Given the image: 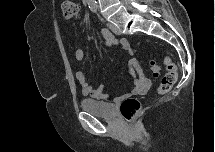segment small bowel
Instances as JSON below:
<instances>
[{
  "label": "small bowel",
  "instance_id": "obj_1",
  "mask_svg": "<svg viewBox=\"0 0 215 152\" xmlns=\"http://www.w3.org/2000/svg\"><path fill=\"white\" fill-rule=\"evenodd\" d=\"M101 34L105 40V43L109 46L120 44L122 49L126 51L129 55L133 54V51L130 47V44L127 39L121 38L120 41L108 32L103 29ZM97 58V56H95ZM75 58L78 61H83L85 59V52L83 49H77L75 51ZM129 68H132L136 71L137 75L132 76L133 89L131 91V95H139L145 93L151 85L149 79H147L141 72V67L139 62L135 58H131L128 61ZM76 78L81 86L82 93L84 95L91 96L98 100H103L106 98V94L104 92L103 86H99L98 88H93L87 81L86 76L83 72L79 71L76 74Z\"/></svg>",
  "mask_w": 215,
  "mask_h": 152
}]
</instances>
